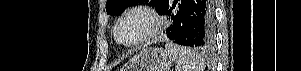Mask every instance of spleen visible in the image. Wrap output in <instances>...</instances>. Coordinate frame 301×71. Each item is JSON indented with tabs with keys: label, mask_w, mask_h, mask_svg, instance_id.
Segmentation results:
<instances>
[{
	"label": "spleen",
	"mask_w": 301,
	"mask_h": 71,
	"mask_svg": "<svg viewBox=\"0 0 301 71\" xmlns=\"http://www.w3.org/2000/svg\"><path fill=\"white\" fill-rule=\"evenodd\" d=\"M165 48L176 63V71H204V63L195 52L173 43H166Z\"/></svg>",
	"instance_id": "obj_1"
}]
</instances>
